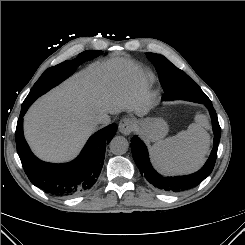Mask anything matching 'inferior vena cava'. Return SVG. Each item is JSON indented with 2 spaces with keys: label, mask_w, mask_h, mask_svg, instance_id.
<instances>
[{
  "label": "inferior vena cava",
  "mask_w": 245,
  "mask_h": 245,
  "mask_svg": "<svg viewBox=\"0 0 245 245\" xmlns=\"http://www.w3.org/2000/svg\"><path fill=\"white\" fill-rule=\"evenodd\" d=\"M95 123L98 125V124H103V125H106L109 123V119L106 118V117H99L95 120Z\"/></svg>",
  "instance_id": "1"
}]
</instances>
